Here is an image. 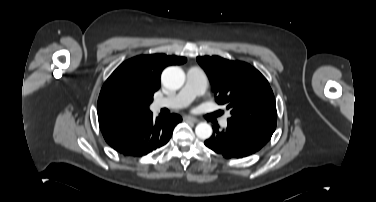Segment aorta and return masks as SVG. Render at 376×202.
I'll return each instance as SVG.
<instances>
[{
    "label": "aorta",
    "mask_w": 376,
    "mask_h": 202,
    "mask_svg": "<svg viewBox=\"0 0 376 202\" xmlns=\"http://www.w3.org/2000/svg\"><path fill=\"white\" fill-rule=\"evenodd\" d=\"M184 82L185 73L180 67H168L162 73V83L169 89L177 90ZM195 133L199 139H208L212 135V127L207 122H201L196 126Z\"/></svg>",
    "instance_id": "1"
}]
</instances>
